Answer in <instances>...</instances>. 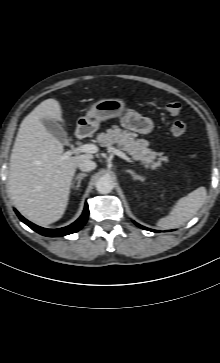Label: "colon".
<instances>
[{"label": "colon", "instance_id": "colon-1", "mask_svg": "<svg viewBox=\"0 0 220 363\" xmlns=\"http://www.w3.org/2000/svg\"><path fill=\"white\" fill-rule=\"evenodd\" d=\"M166 111L173 117H176L181 112V104L177 101L168 102L165 106ZM171 132L176 137H182L187 132V125L184 121L174 119L171 124Z\"/></svg>", "mask_w": 220, "mask_h": 363}]
</instances>
